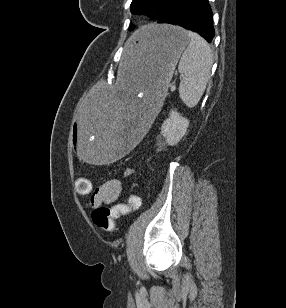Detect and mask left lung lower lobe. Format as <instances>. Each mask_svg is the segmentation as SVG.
<instances>
[{"mask_svg": "<svg viewBox=\"0 0 286 308\" xmlns=\"http://www.w3.org/2000/svg\"><path fill=\"white\" fill-rule=\"evenodd\" d=\"M157 22L175 24L195 31L208 42H211L215 35L208 0H172Z\"/></svg>", "mask_w": 286, "mask_h": 308, "instance_id": "left-lung-lower-lobe-1", "label": "left lung lower lobe"}]
</instances>
